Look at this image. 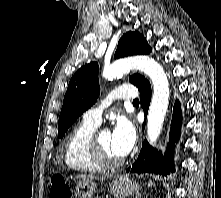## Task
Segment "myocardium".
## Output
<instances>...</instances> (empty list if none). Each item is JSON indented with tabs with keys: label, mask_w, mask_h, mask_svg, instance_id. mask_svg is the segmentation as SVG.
Here are the masks:
<instances>
[{
	"label": "myocardium",
	"mask_w": 221,
	"mask_h": 198,
	"mask_svg": "<svg viewBox=\"0 0 221 198\" xmlns=\"http://www.w3.org/2000/svg\"><path fill=\"white\" fill-rule=\"evenodd\" d=\"M102 131H94L91 137L90 146L94 159L102 167L106 169H114L124 163L123 158L113 159L107 155L99 142V134Z\"/></svg>",
	"instance_id": "obj_1"
}]
</instances>
